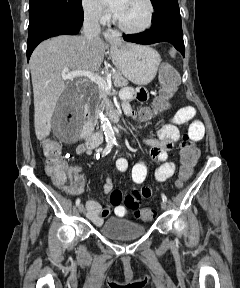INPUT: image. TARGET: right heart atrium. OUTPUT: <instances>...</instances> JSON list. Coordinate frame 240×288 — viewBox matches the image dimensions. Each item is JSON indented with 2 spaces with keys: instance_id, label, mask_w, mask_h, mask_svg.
Segmentation results:
<instances>
[{
  "instance_id": "obj_1",
  "label": "right heart atrium",
  "mask_w": 240,
  "mask_h": 288,
  "mask_svg": "<svg viewBox=\"0 0 240 288\" xmlns=\"http://www.w3.org/2000/svg\"><path fill=\"white\" fill-rule=\"evenodd\" d=\"M82 7L85 16L91 20L105 22L109 18L100 0H82Z\"/></svg>"
}]
</instances>
